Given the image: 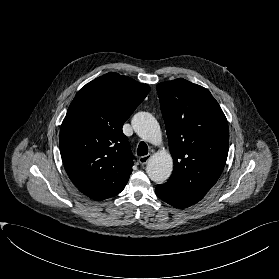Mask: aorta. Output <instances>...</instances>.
Here are the masks:
<instances>
[{"label":"aorta","mask_w":279,"mask_h":279,"mask_svg":"<svg viewBox=\"0 0 279 279\" xmlns=\"http://www.w3.org/2000/svg\"><path fill=\"white\" fill-rule=\"evenodd\" d=\"M132 126L139 137L145 141L158 144L161 141V129L155 117L148 112H138L132 119ZM173 171V159L166 151L157 152L149 160L146 172L156 182H165Z\"/></svg>","instance_id":"aorta-1"}]
</instances>
